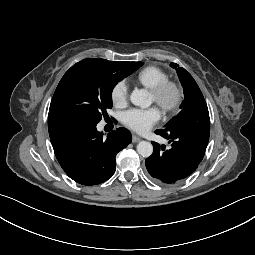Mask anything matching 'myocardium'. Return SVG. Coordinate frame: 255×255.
I'll list each match as a JSON object with an SVG mask.
<instances>
[{
    "instance_id": "myocardium-1",
    "label": "myocardium",
    "mask_w": 255,
    "mask_h": 255,
    "mask_svg": "<svg viewBox=\"0 0 255 255\" xmlns=\"http://www.w3.org/2000/svg\"><path fill=\"white\" fill-rule=\"evenodd\" d=\"M155 97V102L165 111L173 112L181 104L183 99V89L175 81L167 80L151 89Z\"/></svg>"
}]
</instances>
